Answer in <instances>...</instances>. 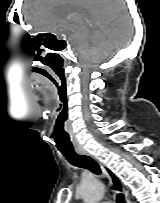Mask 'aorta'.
<instances>
[{
	"label": "aorta",
	"mask_w": 160,
	"mask_h": 203,
	"mask_svg": "<svg viewBox=\"0 0 160 203\" xmlns=\"http://www.w3.org/2000/svg\"><path fill=\"white\" fill-rule=\"evenodd\" d=\"M80 194L85 203H99L104 195V186L97 179H90L81 184Z\"/></svg>",
	"instance_id": "762f6f07"
}]
</instances>
